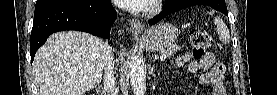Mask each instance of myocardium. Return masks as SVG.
<instances>
[{"instance_id":"obj_1","label":"myocardium","mask_w":277,"mask_h":95,"mask_svg":"<svg viewBox=\"0 0 277 95\" xmlns=\"http://www.w3.org/2000/svg\"><path fill=\"white\" fill-rule=\"evenodd\" d=\"M160 8V0H152L150 5L142 11V14L145 17L153 16L160 11Z\"/></svg>"}]
</instances>
